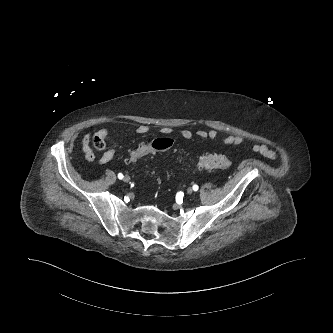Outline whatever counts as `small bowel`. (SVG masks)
Segmentation results:
<instances>
[{"mask_svg":"<svg viewBox=\"0 0 333 333\" xmlns=\"http://www.w3.org/2000/svg\"><path fill=\"white\" fill-rule=\"evenodd\" d=\"M148 131H149V128L147 125H138L137 127L130 130L131 133L136 134V135H144ZM111 132H112L111 128L103 127V128L98 129L95 132L88 133L83 137L82 149L84 152V157L87 161H92V160H94V157H95L93 150L91 148L92 138L94 136H100L102 138H106ZM172 132H173V130L170 127H163L161 129V134L163 137H161V138H171ZM177 134L180 138H182L184 140H190L194 136H197L198 138H200L202 140L217 141L224 145H229V146H240L244 142V138L240 135L228 134L225 136H220L219 132L215 129H209V130L198 129L196 131H192L191 129L183 128V129H179L177 131ZM252 148L255 152L261 153L268 158H271V159L277 158V154L266 145L255 144V145H253ZM115 151L116 150L113 146L107 148L103 152V154L100 156L99 164L105 165V164L109 163L113 159V157L115 155Z\"/></svg>","mask_w":333,"mask_h":333,"instance_id":"obj_1","label":"small bowel"}]
</instances>
